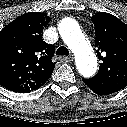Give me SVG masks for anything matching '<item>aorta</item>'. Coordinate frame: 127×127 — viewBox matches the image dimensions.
I'll return each mask as SVG.
<instances>
[{
	"instance_id": "1",
	"label": "aorta",
	"mask_w": 127,
	"mask_h": 127,
	"mask_svg": "<svg viewBox=\"0 0 127 127\" xmlns=\"http://www.w3.org/2000/svg\"><path fill=\"white\" fill-rule=\"evenodd\" d=\"M59 32L75 55L79 73L84 77L93 76L97 71V58L79 24L72 18H64L59 24Z\"/></svg>"
}]
</instances>
